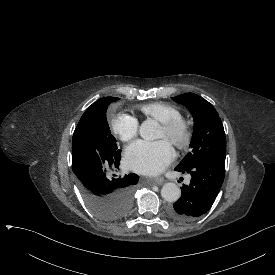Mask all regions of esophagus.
Wrapping results in <instances>:
<instances>
[{
	"instance_id": "esophagus-1",
	"label": "esophagus",
	"mask_w": 275,
	"mask_h": 275,
	"mask_svg": "<svg viewBox=\"0 0 275 275\" xmlns=\"http://www.w3.org/2000/svg\"><path fill=\"white\" fill-rule=\"evenodd\" d=\"M164 182V179L162 177H156L154 179V184L161 185Z\"/></svg>"
}]
</instances>
